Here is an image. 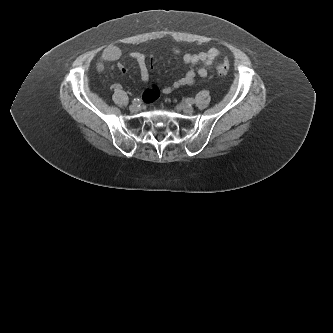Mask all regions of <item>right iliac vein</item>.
<instances>
[{"mask_svg": "<svg viewBox=\"0 0 333 333\" xmlns=\"http://www.w3.org/2000/svg\"><path fill=\"white\" fill-rule=\"evenodd\" d=\"M129 109L132 113H136L140 110V105L138 103H133L130 105Z\"/></svg>", "mask_w": 333, "mask_h": 333, "instance_id": "1", "label": "right iliac vein"}]
</instances>
